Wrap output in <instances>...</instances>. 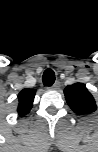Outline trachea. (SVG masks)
Masks as SVG:
<instances>
[{"label": "trachea", "instance_id": "trachea-1", "mask_svg": "<svg viewBox=\"0 0 98 152\" xmlns=\"http://www.w3.org/2000/svg\"><path fill=\"white\" fill-rule=\"evenodd\" d=\"M42 81L45 86H52L55 82V73L52 69H46L42 76Z\"/></svg>", "mask_w": 98, "mask_h": 152}]
</instances>
